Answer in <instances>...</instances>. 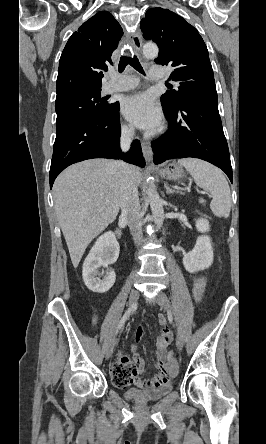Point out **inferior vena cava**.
<instances>
[{
	"mask_svg": "<svg viewBox=\"0 0 266 444\" xmlns=\"http://www.w3.org/2000/svg\"><path fill=\"white\" fill-rule=\"evenodd\" d=\"M134 136V128L125 127L122 129L120 137V146L122 151L126 152L130 148ZM120 174L122 177L121 187V218L128 222L131 234L135 244L142 242V214L138 197L137 182L132 175L129 164L119 161Z\"/></svg>",
	"mask_w": 266,
	"mask_h": 444,
	"instance_id": "inferior-vena-cava-1",
	"label": "inferior vena cava"
}]
</instances>
